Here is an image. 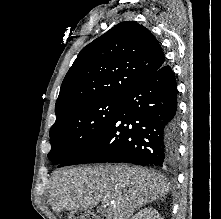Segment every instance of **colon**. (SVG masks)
<instances>
[{"mask_svg": "<svg viewBox=\"0 0 221 219\" xmlns=\"http://www.w3.org/2000/svg\"><path fill=\"white\" fill-rule=\"evenodd\" d=\"M69 219H98V217L86 211H74L70 214Z\"/></svg>", "mask_w": 221, "mask_h": 219, "instance_id": "colon-1", "label": "colon"}]
</instances>
